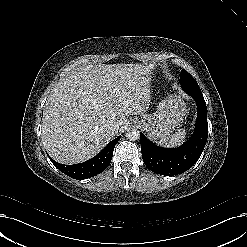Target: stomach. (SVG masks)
<instances>
[{"label":"stomach","instance_id":"stomach-1","mask_svg":"<svg viewBox=\"0 0 247 247\" xmlns=\"http://www.w3.org/2000/svg\"><path fill=\"white\" fill-rule=\"evenodd\" d=\"M186 103L179 95H169L152 115H143L139 125L152 140L169 136L186 115Z\"/></svg>","mask_w":247,"mask_h":247}]
</instances>
